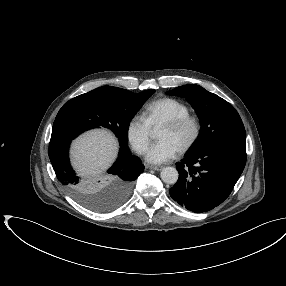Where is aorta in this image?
<instances>
[{
	"mask_svg": "<svg viewBox=\"0 0 286 286\" xmlns=\"http://www.w3.org/2000/svg\"><path fill=\"white\" fill-rule=\"evenodd\" d=\"M161 179L163 182L167 184H175L178 180V171L174 167H165L161 171Z\"/></svg>",
	"mask_w": 286,
	"mask_h": 286,
	"instance_id": "762f6f07",
	"label": "aorta"
}]
</instances>
